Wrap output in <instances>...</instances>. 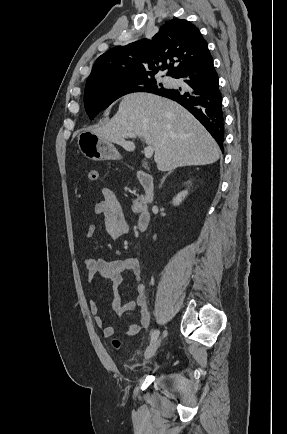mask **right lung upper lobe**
<instances>
[{"label":"right lung upper lobe","instance_id":"obj_1","mask_svg":"<svg viewBox=\"0 0 287 434\" xmlns=\"http://www.w3.org/2000/svg\"><path fill=\"white\" fill-rule=\"evenodd\" d=\"M208 52L207 42L192 23L172 19L160 28L152 40L142 39L102 54L96 60L86 84L151 76L167 68L168 75L174 77Z\"/></svg>","mask_w":287,"mask_h":434}]
</instances>
